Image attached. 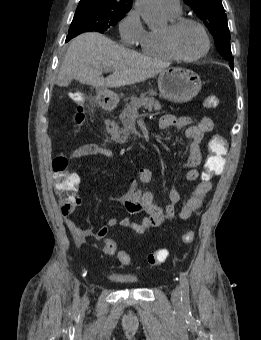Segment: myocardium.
<instances>
[{
    "label": "myocardium",
    "mask_w": 261,
    "mask_h": 340,
    "mask_svg": "<svg viewBox=\"0 0 261 340\" xmlns=\"http://www.w3.org/2000/svg\"><path fill=\"white\" fill-rule=\"evenodd\" d=\"M186 24H193L197 26L203 34L205 40V47L202 52L195 56H185L182 55L175 44V36L177 31ZM163 40L168 52L176 59L184 61V62H194L197 61L204 56H206L211 48V40L205 26L198 21L197 19L191 17H178L174 20H171L167 28L163 31Z\"/></svg>",
    "instance_id": "1"
}]
</instances>
